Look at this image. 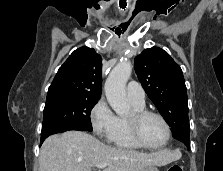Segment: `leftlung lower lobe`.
Instances as JSON below:
<instances>
[{"instance_id":"0a47b994","label":"left lung lower lobe","mask_w":223,"mask_h":171,"mask_svg":"<svg viewBox=\"0 0 223 171\" xmlns=\"http://www.w3.org/2000/svg\"><path fill=\"white\" fill-rule=\"evenodd\" d=\"M182 146H184L186 149H190V144H188V145H185V144H181Z\"/></svg>"}]
</instances>
